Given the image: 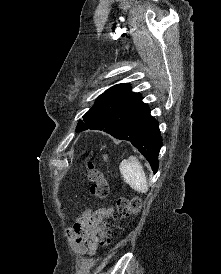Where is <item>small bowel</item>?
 Instances as JSON below:
<instances>
[{"mask_svg":"<svg viewBox=\"0 0 221 274\" xmlns=\"http://www.w3.org/2000/svg\"><path fill=\"white\" fill-rule=\"evenodd\" d=\"M109 213V208H101L96 211H86L76 219L69 229V236L76 253L81 255L95 253L102 222Z\"/></svg>","mask_w":221,"mask_h":274,"instance_id":"obj_1","label":"small bowel"}]
</instances>
